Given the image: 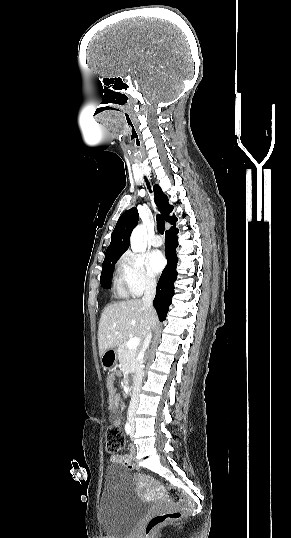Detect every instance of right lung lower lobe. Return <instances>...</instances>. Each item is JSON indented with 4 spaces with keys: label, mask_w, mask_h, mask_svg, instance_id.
<instances>
[{
    "label": "right lung lower lobe",
    "mask_w": 291,
    "mask_h": 538,
    "mask_svg": "<svg viewBox=\"0 0 291 538\" xmlns=\"http://www.w3.org/2000/svg\"><path fill=\"white\" fill-rule=\"evenodd\" d=\"M178 229L172 227L165 234V255L168 261L166 268L163 270L156 288V295L153 305L158 312L160 320H165L169 305L174 295V282L176 280V263L178 261L175 249L177 242Z\"/></svg>",
    "instance_id": "obj_1"
}]
</instances>
